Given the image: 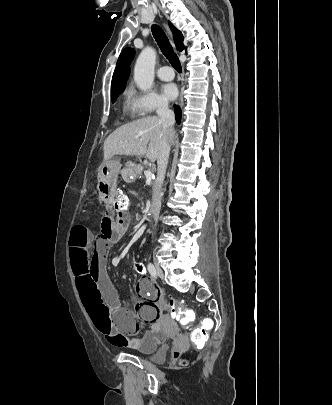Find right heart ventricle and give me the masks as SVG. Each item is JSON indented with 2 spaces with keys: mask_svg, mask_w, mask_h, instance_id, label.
I'll return each mask as SVG.
<instances>
[{
  "mask_svg": "<svg viewBox=\"0 0 332 405\" xmlns=\"http://www.w3.org/2000/svg\"><path fill=\"white\" fill-rule=\"evenodd\" d=\"M131 96H132L131 92L127 91V93H126V113L130 117H133L135 115V113L131 106Z\"/></svg>",
  "mask_w": 332,
  "mask_h": 405,
  "instance_id": "right-heart-ventricle-1",
  "label": "right heart ventricle"
}]
</instances>
